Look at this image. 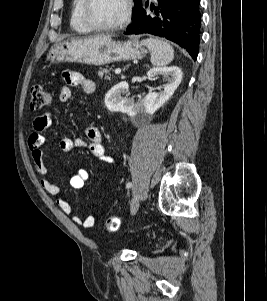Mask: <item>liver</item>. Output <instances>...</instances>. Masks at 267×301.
<instances>
[{
  "label": "liver",
  "instance_id": "6515ba94",
  "mask_svg": "<svg viewBox=\"0 0 267 301\" xmlns=\"http://www.w3.org/2000/svg\"><path fill=\"white\" fill-rule=\"evenodd\" d=\"M96 37H109V36H104V35H98Z\"/></svg>",
  "mask_w": 267,
  "mask_h": 301
}]
</instances>
